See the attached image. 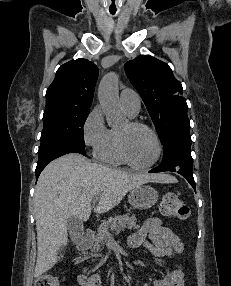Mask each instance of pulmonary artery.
Listing matches in <instances>:
<instances>
[{"instance_id": "obj_1", "label": "pulmonary artery", "mask_w": 231, "mask_h": 286, "mask_svg": "<svg viewBox=\"0 0 231 286\" xmlns=\"http://www.w3.org/2000/svg\"><path fill=\"white\" fill-rule=\"evenodd\" d=\"M120 103L124 110L135 116L140 111L141 107V100L139 95L131 90V89H124L120 94Z\"/></svg>"}]
</instances>
